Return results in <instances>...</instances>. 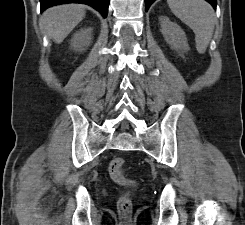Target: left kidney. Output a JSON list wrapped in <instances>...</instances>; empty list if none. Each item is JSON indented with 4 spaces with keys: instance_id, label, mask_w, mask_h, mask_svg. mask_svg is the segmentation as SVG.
I'll list each match as a JSON object with an SVG mask.
<instances>
[{
    "instance_id": "obj_1",
    "label": "left kidney",
    "mask_w": 245,
    "mask_h": 225,
    "mask_svg": "<svg viewBox=\"0 0 245 225\" xmlns=\"http://www.w3.org/2000/svg\"><path fill=\"white\" fill-rule=\"evenodd\" d=\"M160 24L161 33L172 49L177 51L189 50L186 35L178 24L171 22L170 19L165 16L160 18Z\"/></svg>"
}]
</instances>
